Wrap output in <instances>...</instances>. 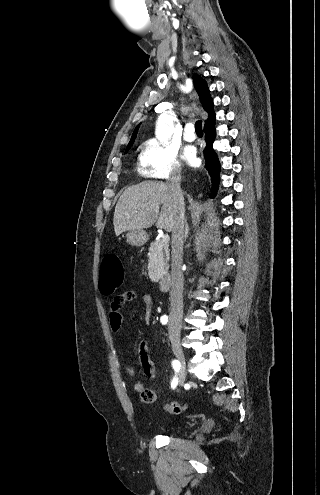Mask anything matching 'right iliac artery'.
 I'll return each instance as SVG.
<instances>
[{
    "instance_id": "obj_1",
    "label": "right iliac artery",
    "mask_w": 320,
    "mask_h": 495,
    "mask_svg": "<svg viewBox=\"0 0 320 495\" xmlns=\"http://www.w3.org/2000/svg\"><path fill=\"white\" fill-rule=\"evenodd\" d=\"M160 321L163 325H166L168 322V316L163 315L160 318ZM172 367H173L175 373L177 374V372L180 370V362L178 360L174 359L172 361ZM177 384H178V379L174 378L172 383H171L172 388H175L177 386Z\"/></svg>"
}]
</instances>
